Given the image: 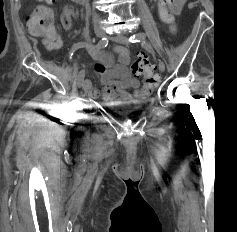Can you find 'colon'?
<instances>
[{
	"mask_svg": "<svg viewBox=\"0 0 237 232\" xmlns=\"http://www.w3.org/2000/svg\"><path fill=\"white\" fill-rule=\"evenodd\" d=\"M56 0H44L51 4ZM170 0H158L157 9L160 19L175 29V14L171 10ZM69 18L76 16V10L69 8L66 10ZM27 28L31 35L43 39V43L49 50H56L60 46V39L56 34L54 27V17L52 10L47 5L36 6L27 17ZM131 72L134 76H142L144 89L151 90L159 82V76L155 71V66L144 55H139L133 63Z\"/></svg>",
	"mask_w": 237,
	"mask_h": 232,
	"instance_id": "1",
	"label": "colon"
}]
</instances>
